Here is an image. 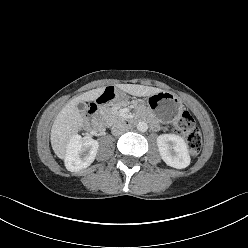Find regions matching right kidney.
Returning a JSON list of instances; mask_svg holds the SVG:
<instances>
[{
  "mask_svg": "<svg viewBox=\"0 0 248 248\" xmlns=\"http://www.w3.org/2000/svg\"><path fill=\"white\" fill-rule=\"evenodd\" d=\"M99 144L93 139H83L74 135L67 148L65 166L71 172H78L87 168L95 160Z\"/></svg>",
  "mask_w": 248,
  "mask_h": 248,
  "instance_id": "1",
  "label": "right kidney"
}]
</instances>
